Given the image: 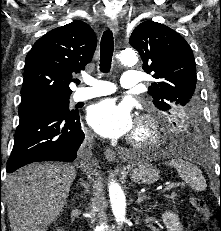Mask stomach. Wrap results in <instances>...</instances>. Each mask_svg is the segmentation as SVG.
<instances>
[{
  "instance_id": "1",
  "label": "stomach",
  "mask_w": 221,
  "mask_h": 231,
  "mask_svg": "<svg viewBox=\"0 0 221 231\" xmlns=\"http://www.w3.org/2000/svg\"><path fill=\"white\" fill-rule=\"evenodd\" d=\"M130 178L136 184L150 185L159 179V170L149 164H142L132 170Z\"/></svg>"
}]
</instances>
